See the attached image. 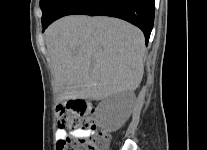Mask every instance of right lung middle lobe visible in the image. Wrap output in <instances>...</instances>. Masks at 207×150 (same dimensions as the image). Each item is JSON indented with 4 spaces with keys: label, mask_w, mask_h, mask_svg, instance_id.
Here are the masks:
<instances>
[{
    "label": "right lung middle lobe",
    "mask_w": 207,
    "mask_h": 150,
    "mask_svg": "<svg viewBox=\"0 0 207 150\" xmlns=\"http://www.w3.org/2000/svg\"><path fill=\"white\" fill-rule=\"evenodd\" d=\"M64 0H40V7L42 9V23L49 21L57 8Z\"/></svg>",
    "instance_id": "right-lung-middle-lobe-1"
}]
</instances>
